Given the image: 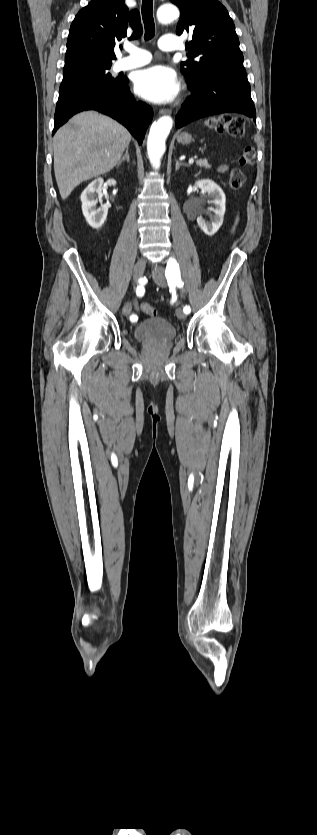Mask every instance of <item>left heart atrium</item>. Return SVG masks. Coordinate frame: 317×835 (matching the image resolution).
Segmentation results:
<instances>
[{"label": "left heart atrium", "instance_id": "obj_1", "mask_svg": "<svg viewBox=\"0 0 317 835\" xmlns=\"http://www.w3.org/2000/svg\"><path fill=\"white\" fill-rule=\"evenodd\" d=\"M134 88L139 96L151 102L166 103L177 96L180 84L172 69L155 65L136 74Z\"/></svg>", "mask_w": 317, "mask_h": 835}]
</instances>
